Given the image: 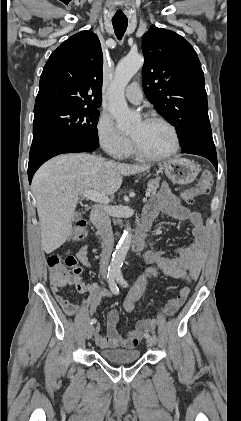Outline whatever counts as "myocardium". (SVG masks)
<instances>
[{
  "instance_id": "f54148a6",
  "label": "myocardium",
  "mask_w": 241,
  "mask_h": 421,
  "mask_svg": "<svg viewBox=\"0 0 241 421\" xmlns=\"http://www.w3.org/2000/svg\"><path fill=\"white\" fill-rule=\"evenodd\" d=\"M143 122L146 123H161L164 124L165 126H167L172 135H173V146L172 148L164 153V154H160V155H152V154H148L145 151H143L139 145L137 144V142L135 141V139L133 137L130 136V145H131V149L134 155H136L137 157L147 160V161H154V162H158V161H163L166 160L170 157H172L173 155H175L179 149H180V136L178 133L177 128L175 127V125L173 123H171L169 120L161 117V116H148L146 118L143 119Z\"/></svg>"
}]
</instances>
